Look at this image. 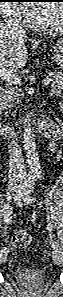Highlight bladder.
I'll return each mask as SVG.
<instances>
[{"instance_id":"31cf9c89","label":"bladder","mask_w":63,"mask_h":297,"mask_svg":"<svg viewBox=\"0 0 63 297\" xmlns=\"http://www.w3.org/2000/svg\"><path fill=\"white\" fill-rule=\"evenodd\" d=\"M15 278L18 281L30 279V280H40L43 276L40 272L36 270H21L14 273Z\"/></svg>"}]
</instances>
